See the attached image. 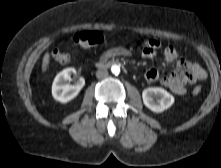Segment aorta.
I'll return each mask as SVG.
<instances>
[{"label": "aorta", "instance_id": "1", "mask_svg": "<svg viewBox=\"0 0 221 168\" xmlns=\"http://www.w3.org/2000/svg\"><path fill=\"white\" fill-rule=\"evenodd\" d=\"M111 72L115 75H118L120 73V66L119 65H112Z\"/></svg>", "mask_w": 221, "mask_h": 168}]
</instances>
